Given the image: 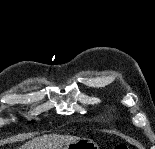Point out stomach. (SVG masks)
Segmentation results:
<instances>
[{"label":"stomach","instance_id":"1","mask_svg":"<svg viewBox=\"0 0 155 149\" xmlns=\"http://www.w3.org/2000/svg\"><path fill=\"white\" fill-rule=\"evenodd\" d=\"M98 149L96 143L89 139H79L76 142H72L64 145L61 149Z\"/></svg>","mask_w":155,"mask_h":149}]
</instances>
